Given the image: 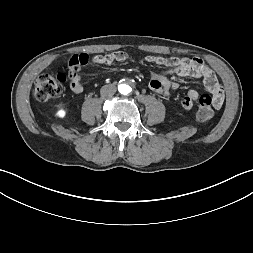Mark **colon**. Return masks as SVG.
Wrapping results in <instances>:
<instances>
[{"label":"colon","instance_id":"1","mask_svg":"<svg viewBox=\"0 0 253 253\" xmlns=\"http://www.w3.org/2000/svg\"><path fill=\"white\" fill-rule=\"evenodd\" d=\"M84 64L85 61H80V59L76 63L70 60L67 73L40 75L34 84L33 97L40 102L57 97L62 93L66 81L70 91L77 95L82 94L86 88L80 74L81 67ZM198 102L197 118L199 121L207 123L213 117V100L209 95H202L199 97Z\"/></svg>","mask_w":253,"mask_h":253}]
</instances>
